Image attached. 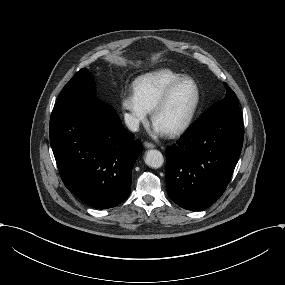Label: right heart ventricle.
<instances>
[{
	"label": "right heart ventricle",
	"instance_id": "obj_1",
	"mask_svg": "<svg viewBox=\"0 0 285 285\" xmlns=\"http://www.w3.org/2000/svg\"><path fill=\"white\" fill-rule=\"evenodd\" d=\"M183 77L182 74L171 70H159L139 78L135 89L144 105L152 111L165 91Z\"/></svg>",
	"mask_w": 285,
	"mask_h": 285
}]
</instances>
